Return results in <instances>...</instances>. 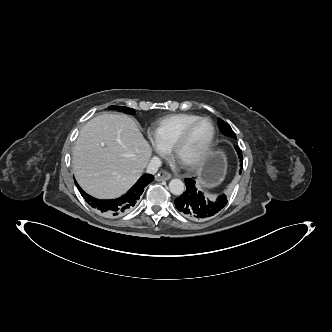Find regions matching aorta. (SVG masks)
Segmentation results:
<instances>
[{"mask_svg":"<svg viewBox=\"0 0 332 332\" xmlns=\"http://www.w3.org/2000/svg\"><path fill=\"white\" fill-rule=\"evenodd\" d=\"M185 185L180 179H172L169 182V190L172 194L180 196L184 192Z\"/></svg>","mask_w":332,"mask_h":332,"instance_id":"1","label":"aorta"}]
</instances>
